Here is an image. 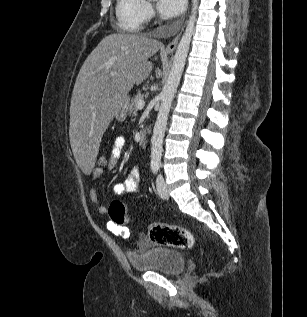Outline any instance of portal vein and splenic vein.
<instances>
[{
	"label": "portal vein and splenic vein",
	"mask_w": 307,
	"mask_h": 317,
	"mask_svg": "<svg viewBox=\"0 0 307 317\" xmlns=\"http://www.w3.org/2000/svg\"><path fill=\"white\" fill-rule=\"evenodd\" d=\"M145 102L144 100H139L137 102V109L142 110L144 108Z\"/></svg>",
	"instance_id": "18ae733b"
}]
</instances>
